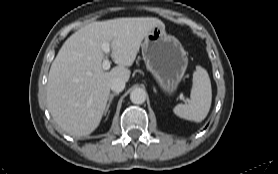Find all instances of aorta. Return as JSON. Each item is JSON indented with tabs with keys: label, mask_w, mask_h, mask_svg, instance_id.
<instances>
[{
	"label": "aorta",
	"mask_w": 278,
	"mask_h": 174,
	"mask_svg": "<svg viewBox=\"0 0 278 174\" xmlns=\"http://www.w3.org/2000/svg\"><path fill=\"white\" fill-rule=\"evenodd\" d=\"M146 91L142 88H135L130 93V100L134 104H142L146 100Z\"/></svg>",
	"instance_id": "762f6f07"
}]
</instances>
